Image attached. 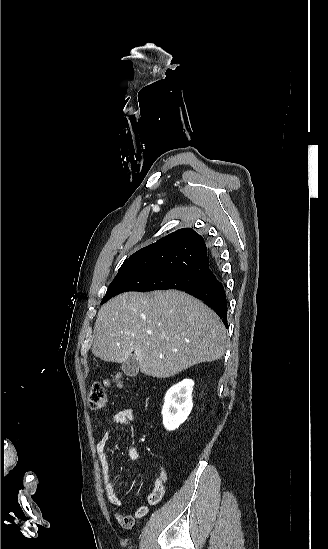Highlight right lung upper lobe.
I'll list each match as a JSON object with an SVG mask.
<instances>
[{"label": "right lung upper lobe", "instance_id": "obj_1", "mask_svg": "<svg viewBox=\"0 0 328 549\" xmlns=\"http://www.w3.org/2000/svg\"><path fill=\"white\" fill-rule=\"evenodd\" d=\"M214 263L203 237L190 228H183L132 254L119 271L133 268L178 269L201 275L210 281L215 278Z\"/></svg>", "mask_w": 328, "mask_h": 549}]
</instances>
